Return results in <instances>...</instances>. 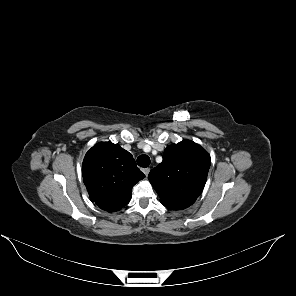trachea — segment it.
<instances>
[{
  "mask_svg": "<svg viewBox=\"0 0 296 296\" xmlns=\"http://www.w3.org/2000/svg\"><path fill=\"white\" fill-rule=\"evenodd\" d=\"M137 164L140 166V167H148L150 165V158L149 156L147 155H140L138 158H137Z\"/></svg>",
  "mask_w": 296,
  "mask_h": 296,
  "instance_id": "trachea-1",
  "label": "trachea"
}]
</instances>
